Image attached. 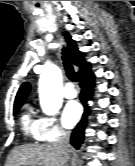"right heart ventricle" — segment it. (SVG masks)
Wrapping results in <instances>:
<instances>
[{
  "label": "right heart ventricle",
  "instance_id": "1",
  "mask_svg": "<svg viewBox=\"0 0 135 166\" xmlns=\"http://www.w3.org/2000/svg\"><path fill=\"white\" fill-rule=\"evenodd\" d=\"M22 132L29 139L39 141L40 139V119L34 114L33 108L28 105L20 119Z\"/></svg>",
  "mask_w": 135,
  "mask_h": 166
}]
</instances>
